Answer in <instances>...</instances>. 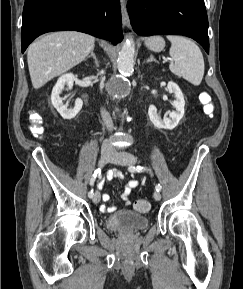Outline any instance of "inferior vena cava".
<instances>
[{"label": "inferior vena cava", "instance_id": "obj_1", "mask_svg": "<svg viewBox=\"0 0 243 289\" xmlns=\"http://www.w3.org/2000/svg\"><path fill=\"white\" fill-rule=\"evenodd\" d=\"M101 116H102V119L104 121V124L106 125L107 129L108 130H112L113 128V123H112V120H111V117L109 115V113L106 111V110H101ZM102 151H107V152H110V153H114L115 152V149L112 145V143L110 141H104L103 144H102Z\"/></svg>", "mask_w": 243, "mask_h": 289}]
</instances>
